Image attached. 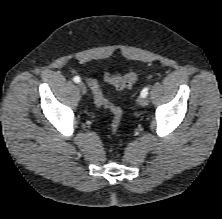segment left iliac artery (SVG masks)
Listing matches in <instances>:
<instances>
[{
    "label": "left iliac artery",
    "mask_w": 222,
    "mask_h": 219,
    "mask_svg": "<svg viewBox=\"0 0 222 219\" xmlns=\"http://www.w3.org/2000/svg\"><path fill=\"white\" fill-rule=\"evenodd\" d=\"M148 87H145L142 91H141V96H147V94H148Z\"/></svg>",
    "instance_id": "obj_1"
}]
</instances>
